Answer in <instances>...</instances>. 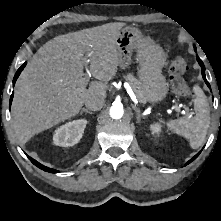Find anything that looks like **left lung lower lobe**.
Returning a JSON list of instances; mask_svg holds the SVG:
<instances>
[{
	"instance_id": "0a47b994",
	"label": "left lung lower lobe",
	"mask_w": 221,
	"mask_h": 221,
	"mask_svg": "<svg viewBox=\"0 0 221 221\" xmlns=\"http://www.w3.org/2000/svg\"><path fill=\"white\" fill-rule=\"evenodd\" d=\"M195 50H196V49H195ZM197 60H198L200 66H201V68H202V77H203V79L205 80L207 86L210 88V85H209V83H208V81L206 80V77H205V67H204V64H203V62L201 61V59H200L198 56H197ZM200 152H201V151H200ZM200 152H199L197 155H195L191 160H189V161L186 163V165H188V164L191 163L194 159H196V158L198 157V155L200 154Z\"/></svg>"
}]
</instances>
